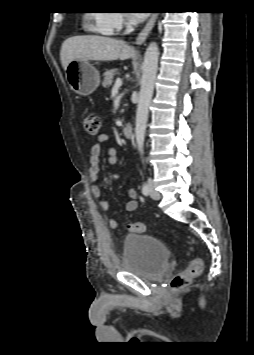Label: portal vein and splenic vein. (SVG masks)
<instances>
[{
    "label": "portal vein and splenic vein",
    "mask_w": 254,
    "mask_h": 355,
    "mask_svg": "<svg viewBox=\"0 0 254 355\" xmlns=\"http://www.w3.org/2000/svg\"><path fill=\"white\" fill-rule=\"evenodd\" d=\"M121 85H122V80L120 78H117L113 86V91H118Z\"/></svg>",
    "instance_id": "obj_1"
}]
</instances>
